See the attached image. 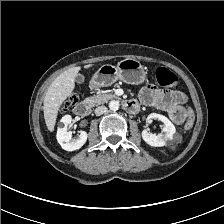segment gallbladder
<instances>
[{
	"instance_id": "gallbladder-1",
	"label": "gallbladder",
	"mask_w": 224,
	"mask_h": 224,
	"mask_svg": "<svg viewBox=\"0 0 224 224\" xmlns=\"http://www.w3.org/2000/svg\"><path fill=\"white\" fill-rule=\"evenodd\" d=\"M84 80H85V77H84V75L83 74H77L76 75V77H75V81H76V83H78V84H82L83 82H84Z\"/></svg>"
}]
</instances>
